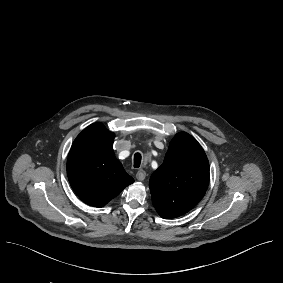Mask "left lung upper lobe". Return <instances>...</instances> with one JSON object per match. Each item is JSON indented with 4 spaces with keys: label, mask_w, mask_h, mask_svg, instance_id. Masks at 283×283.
<instances>
[{
    "label": "left lung upper lobe",
    "mask_w": 283,
    "mask_h": 283,
    "mask_svg": "<svg viewBox=\"0 0 283 283\" xmlns=\"http://www.w3.org/2000/svg\"><path fill=\"white\" fill-rule=\"evenodd\" d=\"M209 184V163L200 144L181 132L171 141L163 164L153 172L149 187L159 215L180 216L204 196Z\"/></svg>",
    "instance_id": "1"
}]
</instances>
